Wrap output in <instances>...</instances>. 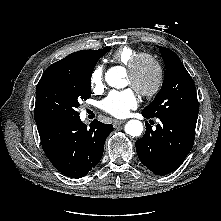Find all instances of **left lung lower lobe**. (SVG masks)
I'll list each match as a JSON object with an SVG mask.
<instances>
[{
    "instance_id": "0a47b994",
    "label": "left lung lower lobe",
    "mask_w": 221,
    "mask_h": 221,
    "mask_svg": "<svg viewBox=\"0 0 221 221\" xmlns=\"http://www.w3.org/2000/svg\"><path fill=\"white\" fill-rule=\"evenodd\" d=\"M195 127L163 120L155 130L146 125L145 135L136 141L140 161L157 175H166L176 170L193 147Z\"/></svg>"
}]
</instances>
